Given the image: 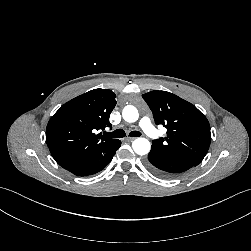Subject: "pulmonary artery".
<instances>
[{
  "mask_svg": "<svg viewBox=\"0 0 251 251\" xmlns=\"http://www.w3.org/2000/svg\"><path fill=\"white\" fill-rule=\"evenodd\" d=\"M139 127L151 138H158L159 134L152 125L150 119L146 116L142 117L139 121Z\"/></svg>",
  "mask_w": 251,
  "mask_h": 251,
  "instance_id": "e3ab8cb5",
  "label": "pulmonary artery"
}]
</instances>
